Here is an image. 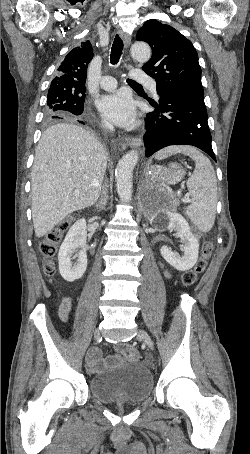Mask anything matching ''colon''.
I'll use <instances>...</instances> for the list:
<instances>
[{"label":"colon","mask_w":250,"mask_h":454,"mask_svg":"<svg viewBox=\"0 0 250 454\" xmlns=\"http://www.w3.org/2000/svg\"><path fill=\"white\" fill-rule=\"evenodd\" d=\"M69 225V221H64L60 226L51 230L45 239L40 243V251L48 260L44 267V272L48 276L53 275L55 271L53 264L49 260L56 255L62 234L69 227ZM213 250L214 244L212 241H206L203 243L200 257L195 266L191 270L185 272L182 276L181 283L184 287H191L197 282L199 276L206 270ZM116 351L129 360H138L140 357L139 352L133 346L128 344L117 345Z\"/></svg>","instance_id":"obj_1"}]
</instances>
